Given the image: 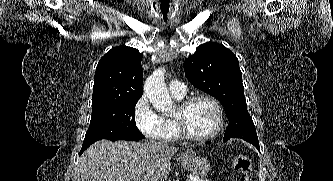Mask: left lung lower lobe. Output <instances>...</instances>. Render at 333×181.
Here are the masks:
<instances>
[{"mask_svg":"<svg viewBox=\"0 0 333 181\" xmlns=\"http://www.w3.org/2000/svg\"><path fill=\"white\" fill-rule=\"evenodd\" d=\"M230 138H232V137H231V136H225V135H224V139H223V141L225 142V141L229 140ZM233 138H234V137H233ZM237 138H239V137H237ZM244 138H245V137L243 136L241 139H244ZM244 140L250 142V143L253 144L258 150H260L259 142H258V141H253V140L248 139V138H245ZM208 143H210V142H207V144H208Z\"/></svg>","mask_w":333,"mask_h":181,"instance_id":"1","label":"left lung lower lobe"}]
</instances>
